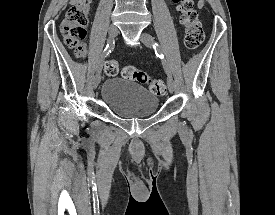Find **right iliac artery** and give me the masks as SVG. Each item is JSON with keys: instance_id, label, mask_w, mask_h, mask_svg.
<instances>
[{"instance_id": "1", "label": "right iliac artery", "mask_w": 275, "mask_h": 215, "mask_svg": "<svg viewBox=\"0 0 275 215\" xmlns=\"http://www.w3.org/2000/svg\"><path fill=\"white\" fill-rule=\"evenodd\" d=\"M113 40L109 39L106 48L104 49L103 53L101 54V58L98 61L97 65H96V70H102V66H103V59L109 54L111 53V51L113 50Z\"/></svg>"}]
</instances>
